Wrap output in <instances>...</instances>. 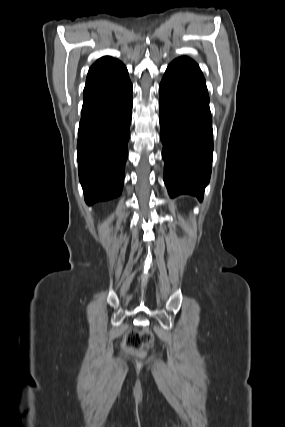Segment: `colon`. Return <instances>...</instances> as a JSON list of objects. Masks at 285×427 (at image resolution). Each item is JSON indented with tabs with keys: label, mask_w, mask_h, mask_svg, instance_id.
<instances>
[{
	"label": "colon",
	"mask_w": 285,
	"mask_h": 427,
	"mask_svg": "<svg viewBox=\"0 0 285 427\" xmlns=\"http://www.w3.org/2000/svg\"><path fill=\"white\" fill-rule=\"evenodd\" d=\"M153 341L149 330H131L126 334L124 347L130 351H144Z\"/></svg>",
	"instance_id": "obj_1"
}]
</instances>
